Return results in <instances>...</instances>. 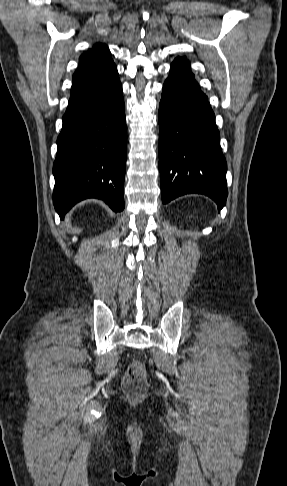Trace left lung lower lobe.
<instances>
[{
	"label": "left lung lower lobe",
	"instance_id": "obj_1",
	"mask_svg": "<svg viewBox=\"0 0 287 486\" xmlns=\"http://www.w3.org/2000/svg\"><path fill=\"white\" fill-rule=\"evenodd\" d=\"M159 126L162 202L200 193L223 208L228 193L227 165L215 115L190 64L183 58L173 61L164 82Z\"/></svg>",
	"mask_w": 287,
	"mask_h": 486
}]
</instances>
